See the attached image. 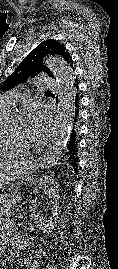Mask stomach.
I'll return each instance as SVG.
<instances>
[{"instance_id": "0dacf381", "label": "stomach", "mask_w": 118, "mask_h": 269, "mask_svg": "<svg viewBox=\"0 0 118 269\" xmlns=\"http://www.w3.org/2000/svg\"><path fill=\"white\" fill-rule=\"evenodd\" d=\"M37 167L38 164L33 157L22 158L19 161L0 166V189L10 182L29 176Z\"/></svg>"}]
</instances>
